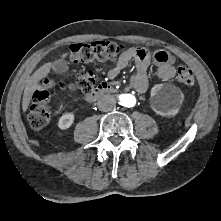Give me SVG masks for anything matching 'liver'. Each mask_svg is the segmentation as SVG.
<instances>
[{
  "label": "liver",
  "mask_w": 221,
  "mask_h": 221,
  "mask_svg": "<svg viewBox=\"0 0 221 221\" xmlns=\"http://www.w3.org/2000/svg\"><path fill=\"white\" fill-rule=\"evenodd\" d=\"M67 55L68 53H64L62 55V58H65ZM51 67V62L45 63L39 69H37L29 78L22 99V110L24 112L28 109L32 94L38 88V83L49 74Z\"/></svg>",
  "instance_id": "liver-1"
}]
</instances>
